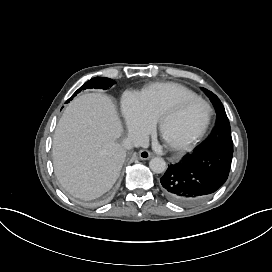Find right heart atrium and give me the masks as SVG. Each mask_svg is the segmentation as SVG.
I'll use <instances>...</instances> for the list:
<instances>
[{"label":"right heart atrium","mask_w":272,"mask_h":272,"mask_svg":"<svg viewBox=\"0 0 272 272\" xmlns=\"http://www.w3.org/2000/svg\"><path fill=\"white\" fill-rule=\"evenodd\" d=\"M123 100L129 130L134 132L149 130L153 126L155 119L144 110L138 96L126 93Z\"/></svg>","instance_id":"1"}]
</instances>
